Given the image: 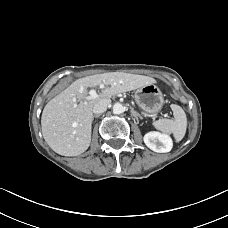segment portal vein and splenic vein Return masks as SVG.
<instances>
[{
  "label": "portal vein and splenic vein",
  "mask_w": 228,
  "mask_h": 228,
  "mask_svg": "<svg viewBox=\"0 0 228 228\" xmlns=\"http://www.w3.org/2000/svg\"><path fill=\"white\" fill-rule=\"evenodd\" d=\"M101 88H103V86H100ZM89 95L88 96V99H92V98H97L98 97V94L96 93V90L95 89H91L89 91Z\"/></svg>",
  "instance_id": "1"
}]
</instances>
